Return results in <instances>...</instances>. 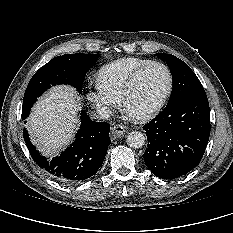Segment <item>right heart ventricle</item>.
I'll use <instances>...</instances> for the list:
<instances>
[{
  "label": "right heart ventricle",
  "instance_id": "right-heart-ventricle-1",
  "mask_svg": "<svg viewBox=\"0 0 233 233\" xmlns=\"http://www.w3.org/2000/svg\"><path fill=\"white\" fill-rule=\"evenodd\" d=\"M152 62L149 59L125 57L103 65L97 81L110 94L119 98L131 76L142 66Z\"/></svg>",
  "mask_w": 233,
  "mask_h": 233
}]
</instances>
